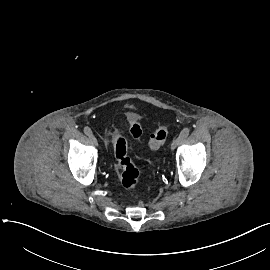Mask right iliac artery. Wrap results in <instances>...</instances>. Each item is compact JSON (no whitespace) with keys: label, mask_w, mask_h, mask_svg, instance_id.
<instances>
[{"label":"right iliac artery","mask_w":270,"mask_h":270,"mask_svg":"<svg viewBox=\"0 0 270 270\" xmlns=\"http://www.w3.org/2000/svg\"><path fill=\"white\" fill-rule=\"evenodd\" d=\"M84 133H85L86 135L90 136V135L92 134V131H91V129H90L89 127H85V128H84Z\"/></svg>","instance_id":"1"}]
</instances>
